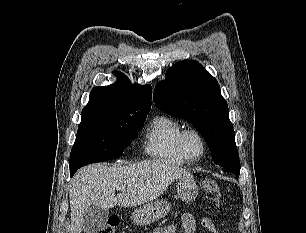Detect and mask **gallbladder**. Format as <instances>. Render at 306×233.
I'll list each match as a JSON object with an SVG mask.
<instances>
[{
  "mask_svg": "<svg viewBox=\"0 0 306 233\" xmlns=\"http://www.w3.org/2000/svg\"><path fill=\"white\" fill-rule=\"evenodd\" d=\"M108 210L99 206H91L83 217V231L85 233H99L108 221Z\"/></svg>",
  "mask_w": 306,
  "mask_h": 233,
  "instance_id": "1",
  "label": "gallbladder"
}]
</instances>
